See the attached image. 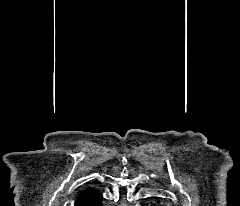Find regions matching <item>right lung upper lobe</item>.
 <instances>
[{"mask_svg":"<svg viewBox=\"0 0 240 206\" xmlns=\"http://www.w3.org/2000/svg\"><path fill=\"white\" fill-rule=\"evenodd\" d=\"M91 189H92V188H87V189L83 190L80 195L87 193V192H88L89 190H91Z\"/></svg>","mask_w":240,"mask_h":206,"instance_id":"cb5924a9","label":"right lung upper lobe"}]
</instances>
